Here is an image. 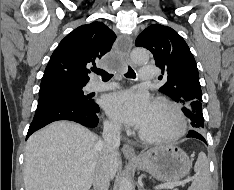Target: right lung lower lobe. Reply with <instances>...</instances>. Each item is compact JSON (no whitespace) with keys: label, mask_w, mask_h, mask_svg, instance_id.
<instances>
[{"label":"right lung lower lobe","mask_w":234,"mask_h":190,"mask_svg":"<svg viewBox=\"0 0 234 190\" xmlns=\"http://www.w3.org/2000/svg\"><path fill=\"white\" fill-rule=\"evenodd\" d=\"M98 105H84L75 100L53 98L37 106L35 116L30 124L26 139L35 131L58 120H70L86 127H96L99 119Z\"/></svg>","instance_id":"right-lung-lower-lobe-1"}]
</instances>
